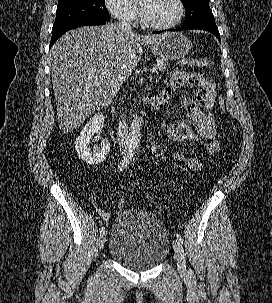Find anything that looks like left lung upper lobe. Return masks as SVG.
<instances>
[{
    "label": "left lung upper lobe",
    "instance_id": "left-lung-upper-lobe-1",
    "mask_svg": "<svg viewBox=\"0 0 272 303\" xmlns=\"http://www.w3.org/2000/svg\"><path fill=\"white\" fill-rule=\"evenodd\" d=\"M186 9L184 27L215 23L209 0H182Z\"/></svg>",
    "mask_w": 272,
    "mask_h": 303
}]
</instances>
